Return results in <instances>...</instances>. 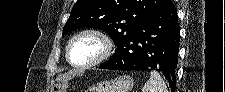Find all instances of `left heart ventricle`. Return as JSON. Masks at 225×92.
<instances>
[{
    "label": "left heart ventricle",
    "mask_w": 225,
    "mask_h": 92,
    "mask_svg": "<svg viewBox=\"0 0 225 92\" xmlns=\"http://www.w3.org/2000/svg\"><path fill=\"white\" fill-rule=\"evenodd\" d=\"M101 52L100 42L91 36L77 39L71 49L70 57L77 64H84L95 59Z\"/></svg>",
    "instance_id": "1"
}]
</instances>
